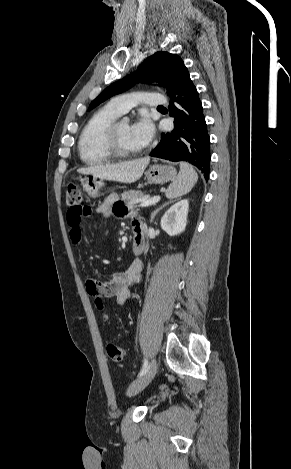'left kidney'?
Segmentation results:
<instances>
[{"mask_svg":"<svg viewBox=\"0 0 291 469\" xmlns=\"http://www.w3.org/2000/svg\"><path fill=\"white\" fill-rule=\"evenodd\" d=\"M188 209L187 199L172 205L161 218V228L170 236L182 233L186 228Z\"/></svg>","mask_w":291,"mask_h":469,"instance_id":"obj_1","label":"left kidney"}]
</instances>
